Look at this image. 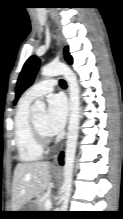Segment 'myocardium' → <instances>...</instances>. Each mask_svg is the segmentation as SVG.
I'll return each instance as SVG.
<instances>
[{"instance_id": "f54148a6", "label": "myocardium", "mask_w": 123, "mask_h": 219, "mask_svg": "<svg viewBox=\"0 0 123 219\" xmlns=\"http://www.w3.org/2000/svg\"><path fill=\"white\" fill-rule=\"evenodd\" d=\"M32 128L38 143L45 147L52 142V135L44 132L36 123L35 119L32 118Z\"/></svg>"}]
</instances>
